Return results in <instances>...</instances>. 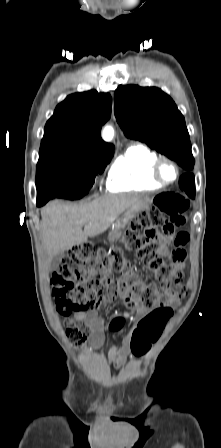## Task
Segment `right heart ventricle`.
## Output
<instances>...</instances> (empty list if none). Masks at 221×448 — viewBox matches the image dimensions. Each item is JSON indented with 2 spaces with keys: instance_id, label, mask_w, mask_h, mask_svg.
Wrapping results in <instances>:
<instances>
[{
  "instance_id": "e07e8e85",
  "label": "right heart ventricle",
  "mask_w": 221,
  "mask_h": 448,
  "mask_svg": "<svg viewBox=\"0 0 221 448\" xmlns=\"http://www.w3.org/2000/svg\"><path fill=\"white\" fill-rule=\"evenodd\" d=\"M158 155L143 145L129 146L111 165L107 176V188L112 192L158 190L151 175Z\"/></svg>"
}]
</instances>
